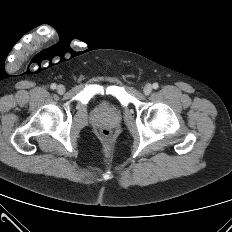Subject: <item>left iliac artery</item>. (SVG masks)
<instances>
[{
	"mask_svg": "<svg viewBox=\"0 0 232 232\" xmlns=\"http://www.w3.org/2000/svg\"><path fill=\"white\" fill-rule=\"evenodd\" d=\"M158 87H159L158 83H154V84H153V88H154V89H157Z\"/></svg>",
	"mask_w": 232,
	"mask_h": 232,
	"instance_id": "obj_1",
	"label": "left iliac artery"
}]
</instances>
